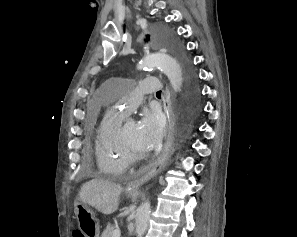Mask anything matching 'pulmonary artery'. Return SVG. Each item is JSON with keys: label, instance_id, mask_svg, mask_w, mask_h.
I'll return each instance as SVG.
<instances>
[{"label": "pulmonary artery", "instance_id": "pulmonary-artery-1", "mask_svg": "<svg viewBox=\"0 0 297 237\" xmlns=\"http://www.w3.org/2000/svg\"><path fill=\"white\" fill-rule=\"evenodd\" d=\"M159 88L155 77H145L137 85L121 86L118 109L121 108V114L126 115L132 108L139 105L144 96L156 92Z\"/></svg>", "mask_w": 297, "mask_h": 237}]
</instances>
